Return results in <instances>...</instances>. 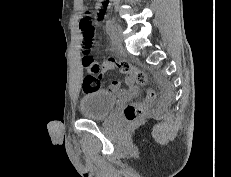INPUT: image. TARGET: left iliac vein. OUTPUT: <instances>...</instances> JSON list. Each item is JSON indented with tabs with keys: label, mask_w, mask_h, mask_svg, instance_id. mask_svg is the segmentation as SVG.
I'll return each mask as SVG.
<instances>
[{
	"label": "left iliac vein",
	"mask_w": 231,
	"mask_h": 177,
	"mask_svg": "<svg viewBox=\"0 0 231 177\" xmlns=\"http://www.w3.org/2000/svg\"><path fill=\"white\" fill-rule=\"evenodd\" d=\"M122 27L119 24H114L112 29V43L116 47H120L123 42Z\"/></svg>",
	"instance_id": "obj_1"
}]
</instances>
